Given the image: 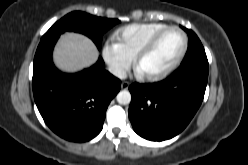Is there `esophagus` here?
Masks as SVG:
<instances>
[{"label":"esophagus","instance_id":"esophagus-1","mask_svg":"<svg viewBox=\"0 0 248 165\" xmlns=\"http://www.w3.org/2000/svg\"><path fill=\"white\" fill-rule=\"evenodd\" d=\"M129 85H130L129 82L124 81V82L121 83V88H122V89H128Z\"/></svg>","mask_w":248,"mask_h":165}]
</instances>
